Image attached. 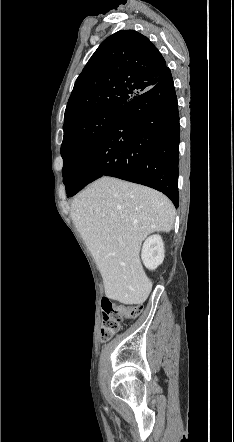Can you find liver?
<instances>
[{"label": "liver", "instance_id": "1", "mask_svg": "<svg viewBox=\"0 0 234 442\" xmlns=\"http://www.w3.org/2000/svg\"><path fill=\"white\" fill-rule=\"evenodd\" d=\"M71 218L95 259L106 296L142 304L152 282L142 267L140 247L149 234L171 230L172 202L151 188L102 177L74 198Z\"/></svg>", "mask_w": 234, "mask_h": 442}]
</instances>
